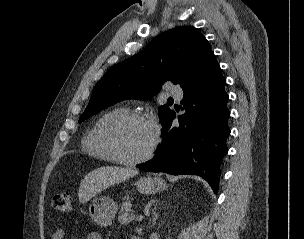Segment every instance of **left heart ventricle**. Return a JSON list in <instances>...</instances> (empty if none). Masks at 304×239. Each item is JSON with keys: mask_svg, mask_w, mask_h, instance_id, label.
<instances>
[{"mask_svg": "<svg viewBox=\"0 0 304 239\" xmlns=\"http://www.w3.org/2000/svg\"><path fill=\"white\" fill-rule=\"evenodd\" d=\"M151 125L140 121H131L121 125L114 132V142L125 158H135L143 155L153 140Z\"/></svg>", "mask_w": 304, "mask_h": 239, "instance_id": "obj_1", "label": "left heart ventricle"}]
</instances>
